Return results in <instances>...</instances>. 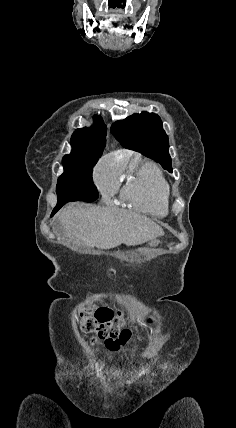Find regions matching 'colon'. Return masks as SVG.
<instances>
[{"instance_id": "5ec220e1", "label": "colon", "mask_w": 236, "mask_h": 428, "mask_svg": "<svg viewBox=\"0 0 236 428\" xmlns=\"http://www.w3.org/2000/svg\"><path fill=\"white\" fill-rule=\"evenodd\" d=\"M81 329L86 333H95L94 343L103 342L110 349L117 348L130 338L131 331L122 328V314H115L109 308H99L95 313L84 309L80 314Z\"/></svg>"}]
</instances>
